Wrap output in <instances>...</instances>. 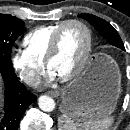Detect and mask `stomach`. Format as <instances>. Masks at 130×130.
<instances>
[{
	"instance_id": "stomach-1",
	"label": "stomach",
	"mask_w": 130,
	"mask_h": 130,
	"mask_svg": "<svg viewBox=\"0 0 130 130\" xmlns=\"http://www.w3.org/2000/svg\"><path fill=\"white\" fill-rule=\"evenodd\" d=\"M121 93V73L109 56L97 55L61 93L60 110L78 122L111 115Z\"/></svg>"
}]
</instances>
